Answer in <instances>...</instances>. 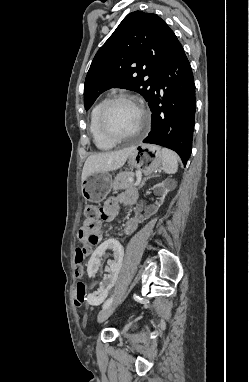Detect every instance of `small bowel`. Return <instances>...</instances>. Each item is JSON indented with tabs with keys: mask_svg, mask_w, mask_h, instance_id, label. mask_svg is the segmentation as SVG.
<instances>
[{
	"mask_svg": "<svg viewBox=\"0 0 249 382\" xmlns=\"http://www.w3.org/2000/svg\"><path fill=\"white\" fill-rule=\"evenodd\" d=\"M135 202V196L132 194L121 195L120 197H111L100 208V218L105 221L113 220L117 213L120 204L132 205ZM140 223V217H131L125 225V233L129 234L136 230ZM77 239L86 250H93L95 246L99 245L100 239V225L98 221L85 220L77 232ZM88 273V272H87ZM85 301V299H84ZM82 298H77L75 304L77 306L83 304Z\"/></svg>",
	"mask_w": 249,
	"mask_h": 382,
	"instance_id": "small-bowel-1",
	"label": "small bowel"
}]
</instances>
